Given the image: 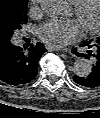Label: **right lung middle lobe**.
I'll return each instance as SVG.
<instances>
[{"label":"right lung middle lobe","instance_id":"obj_1","mask_svg":"<svg viewBox=\"0 0 100 118\" xmlns=\"http://www.w3.org/2000/svg\"><path fill=\"white\" fill-rule=\"evenodd\" d=\"M28 0H0V45L10 43L15 31L27 23Z\"/></svg>","mask_w":100,"mask_h":118}]
</instances>
